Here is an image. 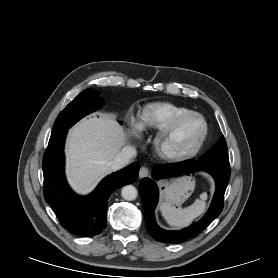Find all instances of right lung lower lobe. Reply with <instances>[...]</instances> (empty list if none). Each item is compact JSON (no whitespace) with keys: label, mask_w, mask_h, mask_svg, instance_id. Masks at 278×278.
Returning a JSON list of instances; mask_svg holds the SVG:
<instances>
[{"label":"right lung lower lobe","mask_w":278,"mask_h":278,"mask_svg":"<svg viewBox=\"0 0 278 278\" xmlns=\"http://www.w3.org/2000/svg\"><path fill=\"white\" fill-rule=\"evenodd\" d=\"M67 130L52 135L43 158L44 198L56 213L61 225L71 233L91 237L106 227L108 199L118 188L133 183L139 164L106 177L93 193L77 196L68 186L64 175V142Z\"/></svg>","instance_id":"98d812e1"}]
</instances>
